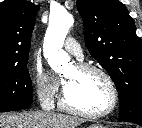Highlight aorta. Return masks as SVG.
Listing matches in <instances>:
<instances>
[{
	"label": "aorta",
	"mask_w": 142,
	"mask_h": 128,
	"mask_svg": "<svg viewBox=\"0 0 142 128\" xmlns=\"http://www.w3.org/2000/svg\"><path fill=\"white\" fill-rule=\"evenodd\" d=\"M73 24V16L64 9L50 14L43 52L44 56L48 58L50 67L57 73L66 69L70 62L69 55L62 50V47Z\"/></svg>",
	"instance_id": "aorta-1"
}]
</instances>
